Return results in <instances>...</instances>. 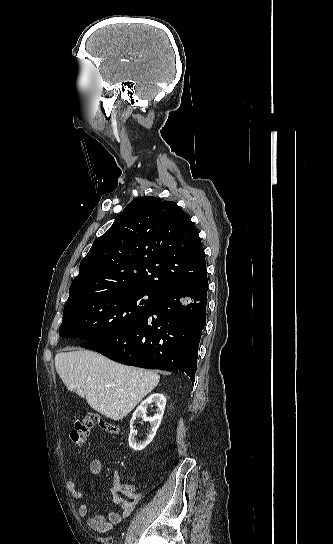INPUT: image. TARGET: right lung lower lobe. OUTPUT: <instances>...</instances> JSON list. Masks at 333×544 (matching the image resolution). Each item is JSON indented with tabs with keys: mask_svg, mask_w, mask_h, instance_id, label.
I'll list each match as a JSON object with an SVG mask.
<instances>
[{
	"mask_svg": "<svg viewBox=\"0 0 333 544\" xmlns=\"http://www.w3.org/2000/svg\"><path fill=\"white\" fill-rule=\"evenodd\" d=\"M207 289L205 273L159 294L153 307L127 329L81 346L125 365L179 370L194 382Z\"/></svg>",
	"mask_w": 333,
	"mask_h": 544,
	"instance_id": "1",
	"label": "right lung lower lobe"
}]
</instances>
